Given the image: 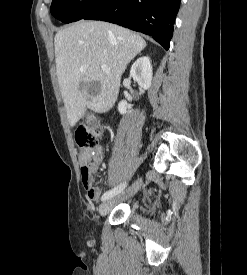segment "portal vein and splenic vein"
<instances>
[{"mask_svg":"<svg viewBox=\"0 0 247 275\" xmlns=\"http://www.w3.org/2000/svg\"><path fill=\"white\" fill-rule=\"evenodd\" d=\"M101 70H102L103 72H109V68H108L107 65H101Z\"/></svg>","mask_w":247,"mask_h":275,"instance_id":"obj_1","label":"portal vein and splenic vein"}]
</instances>
